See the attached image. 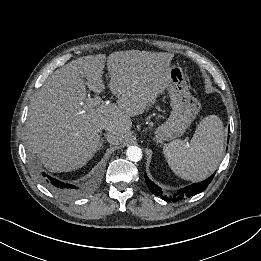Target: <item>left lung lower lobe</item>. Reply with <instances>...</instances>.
<instances>
[{"mask_svg":"<svg viewBox=\"0 0 261 261\" xmlns=\"http://www.w3.org/2000/svg\"><path fill=\"white\" fill-rule=\"evenodd\" d=\"M144 176H145V181L147 183V186L149 187L150 191L154 195L160 196L162 199H164L166 201L176 202L179 200L189 198L191 196H194V195L204 191L207 188V186L210 184V182L212 181L215 174L211 175L209 178H207L206 180H204L202 182L191 184L187 187H184V188L178 190L177 193L174 194L173 196L162 195L161 188L158 187L153 182H151V180L147 177L146 174H144Z\"/></svg>","mask_w":261,"mask_h":261,"instance_id":"left-lung-lower-lobe-1","label":"left lung lower lobe"}]
</instances>
